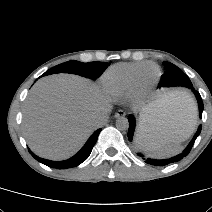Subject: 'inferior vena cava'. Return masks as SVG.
Returning <instances> with one entry per match:
<instances>
[{"instance_id":"obj_1","label":"inferior vena cava","mask_w":212,"mask_h":212,"mask_svg":"<svg viewBox=\"0 0 212 212\" xmlns=\"http://www.w3.org/2000/svg\"><path fill=\"white\" fill-rule=\"evenodd\" d=\"M94 124L96 127H100L105 124L107 121V114L99 115L98 117L94 118Z\"/></svg>"}]
</instances>
